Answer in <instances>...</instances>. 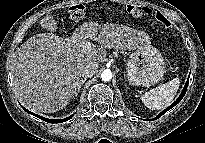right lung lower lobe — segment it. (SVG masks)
Listing matches in <instances>:
<instances>
[{
  "mask_svg": "<svg viewBox=\"0 0 205 143\" xmlns=\"http://www.w3.org/2000/svg\"><path fill=\"white\" fill-rule=\"evenodd\" d=\"M23 109H24L26 112H28V113H30V114H32V115L38 117L39 119H42V120H44V121H46V122H49V123H62V122H65V121H67V120H69L70 118L73 117V115H71V116H69V117H67V118L60 119V120H59V119H47V118H44V117H42V116H39V115H37V114H34V113L28 111V110L25 109L24 107H23Z\"/></svg>",
  "mask_w": 205,
  "mask_h": 143,
  "instance_id": "1",
  "label": "right lung lower lobe"
}]
</instances>
